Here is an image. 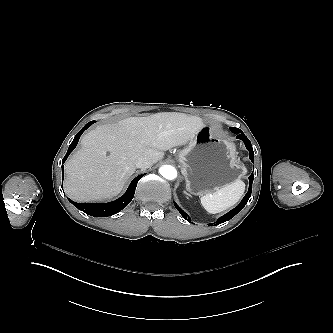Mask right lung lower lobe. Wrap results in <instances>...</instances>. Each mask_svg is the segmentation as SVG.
<instances>
[{"label":"right lung lower lobe","instance_id":"obj_1","mask_svg":"<svg viewBox=\"0 0 333 333\" xmlns=\"http://www.w3.org/2000/svg\"><path fill=\"white\" fill-rule=\"evenodd\" d=\"M95 121H91L89 123H87L74 137L72 143L70 144L68 151L65 155V157L63 158V162L64 163L67 159V157L69 156V154L74 150V148L76 147L78 140L80 138V136L82 135V133L88 128L90 127ZM62 171H63V165H62ZM63 175V174H62ZM143 177V175H139L137 176L129 185L126 193L121 196L120 198H118L115 201L109 202V203H103V204H99V203H76L72 200L69 199V201L76 206L79 210L85 212L88 215L94 216V217H108V216H112L116 213H118L119 211H121L123 208H125L130 201L133 199L134 193H135V189L137 186V183L139 181V179H141ZM63 178V176H62Z\"/></svg>","mask_w":333,"mask_h":333}]
</instances>
